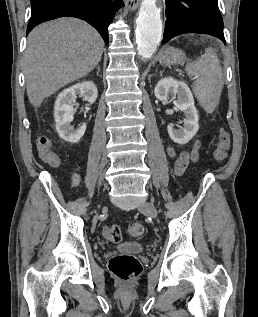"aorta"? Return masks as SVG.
Masks as SVG:
<instances>
[{"label":"aorta","instance_id":"762f6f07","mask_svg":"<svg viewBox=\"0 0 258 317\" xmlns=\"http://www.w3.org/2000/svg\"><path fill=\"white\" fill-rule=\"evenodd\" d=\"M135 38L138 55L150 58L160 44L162 20L157 0H143L136 19Z\"/></svg>","mask_w":258,"mask_h":317}]
</instances>
